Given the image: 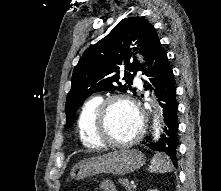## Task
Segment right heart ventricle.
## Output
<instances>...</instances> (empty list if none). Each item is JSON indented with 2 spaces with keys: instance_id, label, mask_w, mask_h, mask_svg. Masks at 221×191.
<instances>
[{
  "instance_id": "e07e8e85",
  "label": "right heart ventricle",
  "mask_w": 221,
  "mask_h": 191,
  "mask_svg": "<svg viewBox=\"0 0 221 191\" xmlns=\"http://www.w3.org/2000/svg\"><path fill=\"white\" fill-rule=\"evenodd\" d=\"M103 99L100 96H93L87 99L82 105L77 118V131L81 143L90 149L101 148L95 131L97 110Z\"/></svg>"
}]
</instances>
